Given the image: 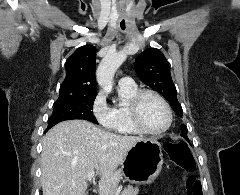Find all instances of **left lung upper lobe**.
<instances>
[{
  "label": "left lung upper lobe",
  "instance_id": "1",
  "mask_svg": "<svg viewBox=\"0 0 240 195\" xmlns=\"http://www.w3.org/2000/svg\"><path fill=\"white\" fill-rule=\"evenodd\" d=\"M134 67L143 83L150 86L170 103L179 117L183 110L177 100L176 87L172 81L169 64L164 55L155 48L146 49L135 60ZM181 136L187 138V127L181 125Z\"/></svg>",
  "mask_w": 240,
  "mask_h": 195
}]
</instances>
